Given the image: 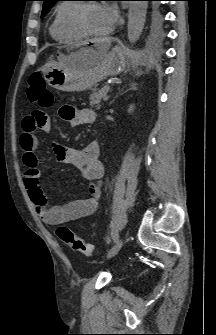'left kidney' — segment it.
I'll use <instances>...</instances> for the list:
<instances>
[{"label":"left kidney","mask_w":216,"mask_h":335,"mask_svg":"<svg viewBox=\"0 0 216 335\" xmlns=\"http://www.w3.org/2000/svg\"><path fill=\"white\" fill-rule=\"evenodd\" d=\"M134 111V105H130L128 109V113H132Z\"/></svg>","instance_id":"obj_1"}]
</instances>
